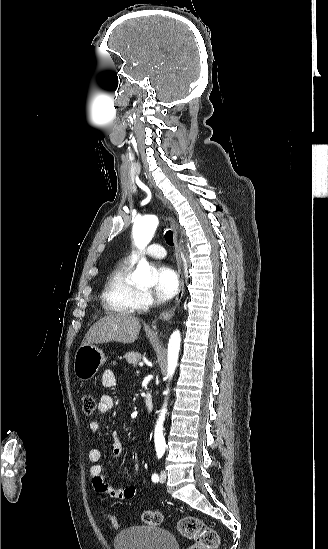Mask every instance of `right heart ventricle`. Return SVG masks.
<instances>
[{
  "instance_id": "obj_1",
  "label": "right heart ventricle",
  "mask_w": 328,
  "mask_h": 549,
  "mask_svg": "<svg viewBox=\"0 0 328 549\" xmlns=\"http://www.w3.org/2000/svg\"><path fill=\"white\" fill-rule=\"evenodd\" d=\"M134 264L128 257L109 276L102 293V310L107 319H138V312L148 304L140 287L130 280Z\"/></svg>"
}]
</instances>
